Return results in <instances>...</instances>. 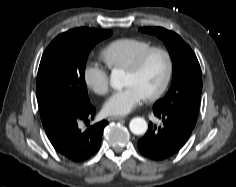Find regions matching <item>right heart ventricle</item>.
<instances>
[{
	"label": "right heart ventricle",
	"mask_w": 236,
	"mask_h": 187,
	"mask_svg": "<svg viewBox=\"0 0 236 187\" xmlns=\"http://www.w3.org/2000/svg\"><path fill=\"white\" fill-rule=\"evenodd\" d=\"M152 45L142 39L120 38L110 42L101 53V59L112 69H127L132 62Z\"/></svg>",
	"instance_id": "e07e8e85"
}]
</instances>
